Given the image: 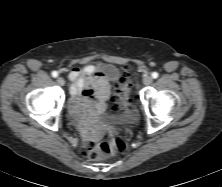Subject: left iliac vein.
<instances>
[{
  "instance_id": "left-iliac-vein-1",
  "label": "left iliac vein",
  "mask_w": 222,
  "mask_h": 187,
  "mask_svg": "<svg viewBox=\"0 0 222 187\" xmlns=\"http://www.w3.org/2000/svg\"><path fill=\"white\" fill-rule=\"evenodd\" d=\"M153 79L150 75H146L144 78H143V84L144 85H150L152 83Z\"/></svg>"
}]
</instances>
